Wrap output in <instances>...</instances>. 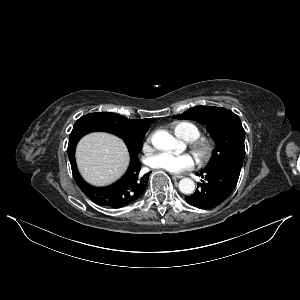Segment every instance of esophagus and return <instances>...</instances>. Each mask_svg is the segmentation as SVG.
I'll return each instance as SVG.
<instances>
[{
	"mask_svg": "<svg viewBox=\"0 0 300 300\" xmlns=\"http://www.w3.org/2000/svg\"><path fill=\"white\" fill-rule=\"evenodd\" d=\"M184 176L183 175H181V174H173V178H175V179H181V178H183Z\"/></svg>",
	"mask_w": 300,
	"mask_h": 300,
	"instance_id": "34e87169",
	"label": "esophagus"
}]
</instances>
